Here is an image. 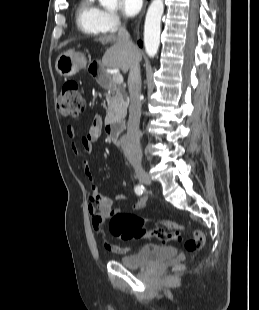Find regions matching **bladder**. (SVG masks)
Returning a JSON list of instances; mask_svg holds the SVG:
<instances>
[{
	"label": "bladder",
	"instance_id": "obj_1",
	"mask_svg": "<svg viewBox=\"0 0 259 310\" xmlns=\"http://www.w3.org/2000/svg\"><path fill=\"white\" fill-rule=\"evenodd\" d=\"M175 248L164 245H144L135 253L124 255L118 261L130 269L146 268L174 257Z\"/></svg>",
	"mask_w": 259,
	"mask_h": 310
}]
</instances>
